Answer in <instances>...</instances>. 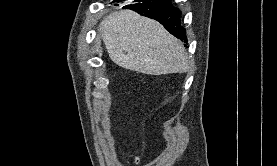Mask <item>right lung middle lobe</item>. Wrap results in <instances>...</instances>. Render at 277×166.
<instances>
[{"label": "right lung middle lobe", "instance_id": "1", "mask_svg": "<svg viewBox=\"0 0 277 166\" xmlns=\"http://www.w3.org/2000/svg\"><path fill=\"white\" fill-rule=\"evenodd\" d=\"M115 2H119L120 0H114Z\"/></svg>", "mask_w": 277, "mask_h": 166}]
</instances>
